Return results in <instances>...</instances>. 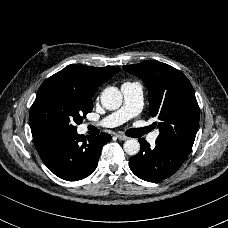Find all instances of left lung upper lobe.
Segmentation results:
<instances>
[{
	"label": "left lung upper lobe",
	"instance_id": "1",
	"mask_svg": "<svg viewBox=\"0 0 228 228\" xmlns=\"http://www.w3.org/2000/svg\"><path fill=\"white\" fill-rule=\"evenodd\" d=\"M123 68L141 78L148 87L150 115L160 120L157 139L192 147L199 125V106L187 77L174 67L157 61Z\"/></svg>",
	"mask_w": 228,
	"mask_h": 228
}]
</instances>
